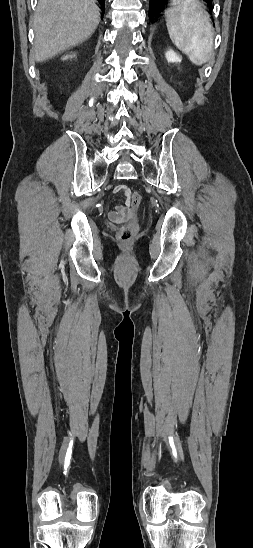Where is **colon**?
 <instances>
[{
	"mask_svg": "<svg viewBox=\"0 0 253 548\" xmlns=\"http://www.w3.org/2000/svg\"><path fill=\"white\" fill-rule=\"evenodd\" d=\"M131 204L133 207H138L142 202V196L138 192H133L130 197ZM134 238V227L133 225H125L121 227L118 232V239L123 244H130Z\"/></svg>",
	"mask_w": 253,
	"mask_h": 548,
	"instance_id": "obj_1",
	"label": "colon"
}]
</instances>
